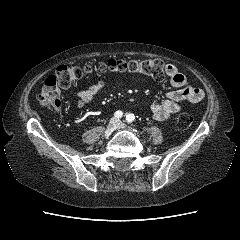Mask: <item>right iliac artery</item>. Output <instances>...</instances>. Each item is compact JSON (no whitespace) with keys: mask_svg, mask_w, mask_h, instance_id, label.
<instances>
[{"mask_svg":"<svg viewBox=\"0 0 240 240\" xmlns=\"http://www.w3.org/2000/svg\"><path fill=\"white\" fill-rule=\"evenodd\" d=\"M114 116H115V118L119 119L123 116V112L122 111H116Z\"/></svg>","mask_w":240,"mask_h":240,"instance_id":"82829eb1","label":"right iliac artery"}]
</instances>
